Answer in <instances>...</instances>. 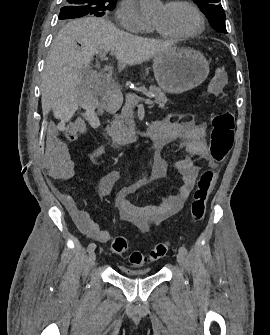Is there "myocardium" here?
Masks as SVG:
<instances>
[{
	"label": "myocardium",
	"instance_id": "f54148a6",
	"mask_svg": "<svg viewBox=\"0 0 270 335\" xmlns=\"http://www.w3.org/2000/svg\"><path fill=\"white\" fill-rule=\"evenodd\" d=\"M181 4L187 5L194 12V14L196 15L197 20H198V26H197V28L195 30L191 31V32H188V33L173 35V34L163 33L158 28H156L155 26H153L155 28V30L160 35H162L163 37L173 38V39H178V40H186V39H189V38L197 36L198 34H200L203 31V29L205 27V21H204V18L202 16L201 12L194 5V3L190 2V1H173V2L168 3L167 6L173 8V7H177V6L181 5ZM180 52H197V51L192 50V49H182V50H180ZM197 78H204V77H197Z\"/></svg>",
	"mask_w": 270,
	"mask_h": 335
}]
</instances>
